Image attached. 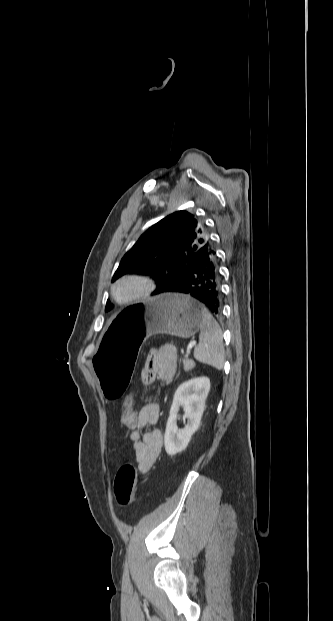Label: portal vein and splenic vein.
Returning <instances> with one entry per match:
<instances>
[{
	"instance_id": "18ae733b",
	"label": "portal vein and splenic vein",
	"mask_w": 333,
	"mask_h": 621,
	"mask_svg": "<svg viewBox=\"0 0 333 621\" xmlns=\"http://www.w3.org/2000/svg\"><path fill=\"white\" fill-rule=\"evenodd\" d=\"M195 345H196V341H192V342L188 345L187 350H186V353H187V354H189V353L191 352V349H192Z\"/></svg>"
}]
</instances>
